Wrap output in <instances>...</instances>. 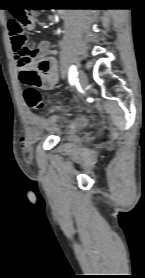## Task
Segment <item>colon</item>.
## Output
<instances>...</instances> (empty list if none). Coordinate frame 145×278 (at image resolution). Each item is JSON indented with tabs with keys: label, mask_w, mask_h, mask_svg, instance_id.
<instances>
[{
	"label": "colon",
	"mask_w": 145,
	"mask_h": 278,
	"mask_svg": "<svg viewBox=\"0 0 145 278\" xmlns=\"http://www.w3.org/2000/svg\"><path fill=\"white\" fill-rule=\"evenodd\" d=\"M31 23V14L24 8H14L11 12L8 29L13 43L17 47L26 48L28 55H33L31 48L27 45L26 29ZM23 82L27 87L23 90V97L32 110L43 107L44 100L36 85L41 80L38 68H32L22 76ZM22 151L25 155L30 154L31 146L26 140H21Z\"/></svg>",
	"instance_id": "1"
}]
</instances>
